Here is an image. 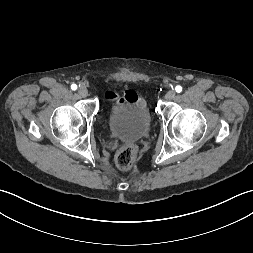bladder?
I'll return each mask as SVG.
<instances>
[{
    "mask_svg": "<svg viewBox=\"0 0 253 253\" xmlns=\"http://www.w3.org/2000/svg\"><path fill=\"white\" fill-rule=\"evenodd\" d=\"M109 131L124 141H138L151 129V114L145 102H114L108 117Z\"/></svg>",
    "mask_w": 253,
    "mask_h": 253,
    "instance_id": "31cf9c89",
    "label": "bladder"
}]
</instances>
